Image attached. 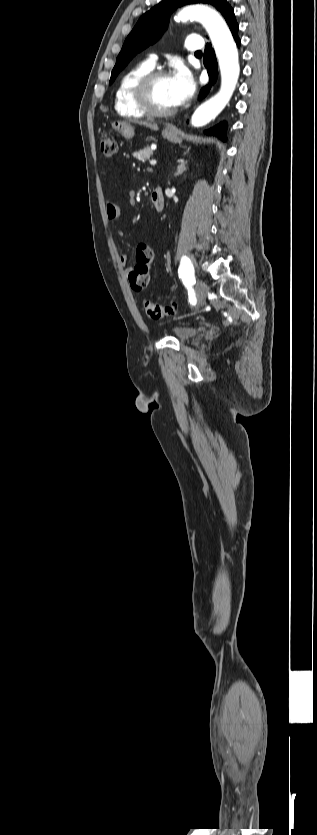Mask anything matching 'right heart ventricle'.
Returning a JSON list of instances; mask_svg holds the SVG:
<instances>
[{
  "label": "right heart ventricle",
  "mask_w": 317,
  "mask_h": 835,
  "mask_svg": "<svg viewBox=\"0 0 317 835\" xmlns=\"http://www.w3.org/2000/svg\"><path fill=\"white\" fill-rule=\"evenodd\" d=\"M152 70L153 66L148 62H141L121 77L115 92V109L120 115L137 119L147 116L136 103L134 87L142 76Z\"/></svg>",
  "instance_id": "1"
}]
</instances>
